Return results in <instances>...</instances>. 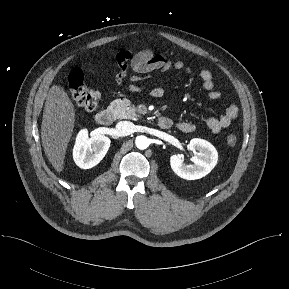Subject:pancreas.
Segmentation results:
<instances>
[{"label":"pancreas","instance_id":"obj_1","mask_svg":"<svg viewBox=\"0 0 289 289\" xmlns=\"http://www.w3.org/2000/svg\"><path fill=\"white\" fill-rule=\"evenodd\" d=\"M108 109L117 119L137 120L140 116L137 114V109L131 105L128 99L113 100Z\"/></svg>","mask_w":289,"mask_h":289}]
</instances>
